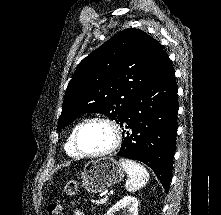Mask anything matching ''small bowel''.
<instances>
[{
  "instance_id": "obj_1",
  "label": "small bowel",
  "mask_w": 221,
  "mask_h": 215,
  "mask_svg": "<svg viewBox=\"0 0 221 215\" xmlns=\"http://www.w3.org/2000/svg\"><path fill=\"white\" fill-rule=\"evenodd\" d=\"M74 215H84L82 212L78 211V210H75L73 212Z\"/></svg>"
}]
</instances>
